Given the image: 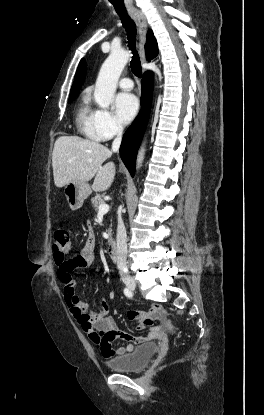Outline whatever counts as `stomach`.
Segmentation results:
<instances>
[{"label": "stomach", "mask_w": 264, "mask_h": 415, "mask_svg": "<svg viewBox=\"0 0 264 415\" xmlns=\"http://www.w3.org/2000/svg\"><path fill=\"white\" fill-rule=\"evenodd\" d=\"M91 187L83 182H69L64 187V194L71 210L82 207L84 200L91 194Z\"/></svg>", "instance_id": "stomach-1"}]
</instances>
